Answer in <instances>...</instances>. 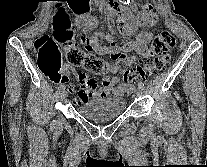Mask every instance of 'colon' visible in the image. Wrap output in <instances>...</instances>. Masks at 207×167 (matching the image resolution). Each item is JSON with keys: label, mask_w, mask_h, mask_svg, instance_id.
Listing matches in <instances>:
<instances>
[{"label": "colon", "mask_w": 207, "mask_h": 167, "mask_svg": "<svg viewBox=\"0 0 207 167\" xmlns=\"http://www.w3.org/2000/svg\"><path fill=\"white\" fill-rule=\"evenodd\" d=\"M53 37L40 36L34 43V53L40 72L53 82L61 78L62 50L66 62L70 65L82 67L94 75H103L109 72L110 64L101 57L96 56L89 49L78 47L75 32L72 28L70 13L60 8L53 19ZM175 37L168 31L157 35L151 44V52L155 57L147 60L135 69L128 68L130 61L124 59L120 62L123 70V80L127 85L161 72L170 61V51L175 47Z\"/></svg>", "instance_id": "5ec220e1"}]
</instances>
